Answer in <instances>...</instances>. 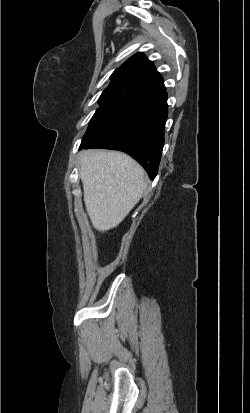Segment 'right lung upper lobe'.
<instances>
[{
  "mask_svg": "<svg viewBox=\"0 0 250 413\" xmlns=\"http://www.w3.org/2000/svg\"><path fill=\"white\" fill-rule=\"evenodd\" d=\"M110 79L111 83L106 90L132 92L138 97L166 90L163 78L154 68L153 62L141 52L125 61L113 72Z\"/></svg>",
  "mask_w": 250,
  "mask_h": 413,
  "instance_id": "right-lung-upper-lobe-1",
  "label": "right lung upper lobe"
}]
</instances>
